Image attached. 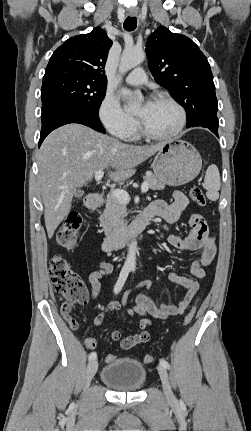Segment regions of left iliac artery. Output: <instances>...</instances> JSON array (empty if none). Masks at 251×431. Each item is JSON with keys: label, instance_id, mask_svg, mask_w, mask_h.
<instances>
[{"label": "left iliac artery", "instance_id": "1", "mask_svg": "<svg viewBox=\"0 0 251 431\" xmlns=\"http://www.w3.org/2000/svg\"><path fill=\"white\" fill-rule=\"evenodd\" d=\"M132 270L134 271L135 269L133 268ZM160 365H162L166 369H169V367H170L169 363L165 359H163V358L160 359Z\"/></svg>", "mask_w": 251, "mask_h": 431}]
</instances>
